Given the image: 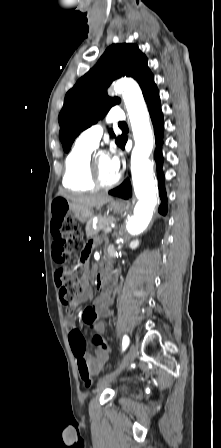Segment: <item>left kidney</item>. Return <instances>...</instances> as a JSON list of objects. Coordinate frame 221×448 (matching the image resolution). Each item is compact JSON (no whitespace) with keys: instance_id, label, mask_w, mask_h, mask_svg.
Masks as SVG:
<instances>
[{"instance_id":"obj_1","label":"left kidney","mask_w":221,"mask_h":448,"mask_svg":"<svg viewBox=\"0 0 221 448\" xmlns=\"http://www.w3.org/2000/svg\"><path fill=\"white\" fill-rule=\"evenodd\" d=\"M138 245H139V241L138 240H135V241H133L132 243H131V248L132 249H136L137 247H138Z\"/></svg>"}]
</instances>
